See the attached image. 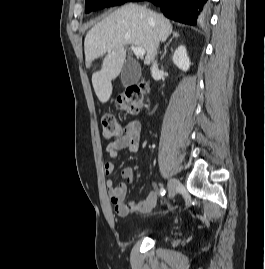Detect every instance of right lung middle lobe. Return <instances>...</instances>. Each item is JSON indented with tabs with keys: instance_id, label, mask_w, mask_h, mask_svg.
Segmentation results:
<instances>
[{
	"instance_id": "dd1d6c3e",
	"label": "right lung middle lobe",
	"mask_w": 265,
	"mask_h": 269,
	"mask_svg": "<svg viewBox=\"0 0 265 269\" xmlns=\"http://www.w3.org/2000/svg\"><path fill=\"white\" fill-rule=\"evenodd\" d=\"M129 0H86V13L104 7L121 5Z\"/></svg>"
}]
</instances>
